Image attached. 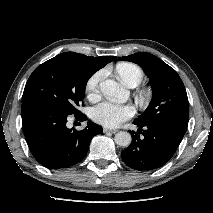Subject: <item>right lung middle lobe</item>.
<instances>
[{
  "label": "right lung middle lobe",
  "instance_id": "right-lung-middle-lobe-1",
  "mask_svg": "<svg viewBox=\"0 0 213 213\" xmlns=\"http://www.w3.org/2000/svg\"><path fill=\"white\" fill-rule=\"evenodd\" d=\"M94 73L84 62L59 54L33 71L22 102L37 100L66 115H80L78 107L85 96L87 81Z\"/></svg>",
  "mask_w": 213,
  "mask_h": 213
}]
</instances>
